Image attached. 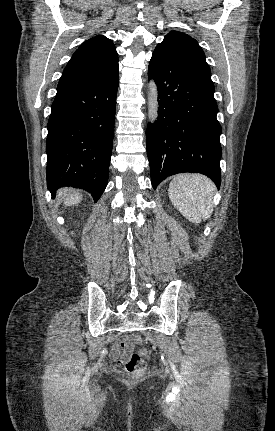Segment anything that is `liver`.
I'll use <instances>...</instances> for the list:
<instances>
[{
	"label": "liver",
	"mask_w": 275,
	"mask_h": 431,
	"mask_svg": "<svg viewBox=\"0 0 275 431\" xmlns=\"http://www.w3.org/2000/svg\"><path fill=\"white\" fill-rule=\"evenodd\" d=\"M58 195L64 198L66 206L78 204L82 200V196L79 193H71L67 188L61 189Z\"/></svg>",
	"instance_id": "obj_1"
}]
</instances>
